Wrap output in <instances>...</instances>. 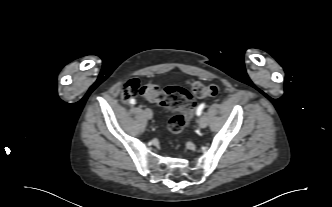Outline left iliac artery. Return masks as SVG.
<instances>
[{"label": "left iliac artery", "instance_id": "1", "mask_svg": "<svg viewBox=\"0 0 332 207\" xmlns=\"http://www.w3.org/2000/svg\"><path fill=\"white\" fill-rule=\"evenodd\" d=\"M204 107H205V104H204V103H202V104H200V105L198 106V108H197V110H196V114H197L198 116H200V115L202 114V111H203Z\"/></svg>", "mask_w": 332, "mask_h": 207}]
</instances>
